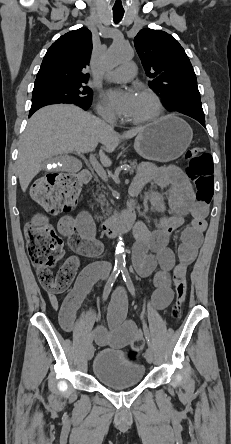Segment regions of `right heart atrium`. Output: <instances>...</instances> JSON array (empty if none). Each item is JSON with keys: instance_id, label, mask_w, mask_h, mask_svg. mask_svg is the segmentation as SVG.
<instances>
[{"instance_id": "1", "label": "right heart atrium", "mask_w": 231, "mask_h": 444, "mask_svg": "<svg viewBox=\"0 0 231 444\" xmlns=\"http://www.w3.org/2000/svg\"><path fill=\"white\" fill-rule=\"evenodd\" d=\"M96 110H97V113L101 116V117H103V118H105V119H107V120H114L115 119V114H114V112L107 106V105H105L104 103H102V102H99L98 104H97V106H96Z\"/></svg>"}]
</instances>
